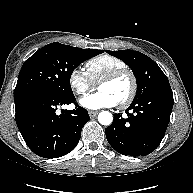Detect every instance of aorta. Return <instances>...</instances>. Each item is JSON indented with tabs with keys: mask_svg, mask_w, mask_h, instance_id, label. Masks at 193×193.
<instances>
[{
	"mask_svg": "<svg viewBox=\"0 0 193 193\" xmlns=\"http://www.w3.org/2000/svg\"><path fill=\"white\" fill-rule=\"evenodd\" d=\"M98 121L102 125H110L113 121V115L108 111H102L98 115Z\"/></svg>",
	"mask_w": 193,
	"mask_h": 193,
	"instance_id": "762f6f07",
	"label": "aorta"
}]
</instances>
